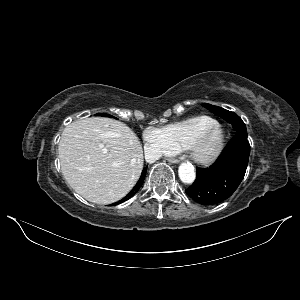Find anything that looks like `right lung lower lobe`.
Listing matches in <instances>:
<instances>
[{"label":"right lung lower lobe","instance_id":"obj_1","mask_svg":"<svg viewBox=\"0 0 300 300\" xmlns=\"http://www.w3.org/2000/svg\"><path fill=\"white\" fill-rule=\"evenodd\" d=\"M146 171H147V167H145L144 169H143V171H142V174H141V177H140V179L138 180V182H139V185H142V183H143V181H144V179H145V176H146ZM138 182H137V184H138ZM136 186V185H135ZM134 186V187H135ZM140 189V188H139ZM136 193L134 192V190L132 189L127 195H126V197H124L122 200H120L119 202H116V203H114V204H119V203H122V202H124V201H126V200H128L129 198H131L133 195H135Z\"/></svg>","mask_w":300,"mask_h":300}]
</instances>
